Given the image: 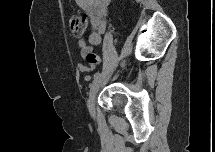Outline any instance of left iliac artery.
Listing matches in <instances>:
<instances>
[{
    "instance_id": "left-iliac-artery-1",
    "label": "left iliac artery",
    "mask_w": 215,
    "mask_h": 152,
    "mask_svg": "<svg viewBox=\"0 0 215 152\" xmlns=\"http://www.w3.org/2000/svg\"><path fill=\"white\" fill-rule=\"evenodd\" d=\"M100 72H96L93 76V80L95 81L96 79H98L100 77Z\"/></svg>"
}]
</instances>
